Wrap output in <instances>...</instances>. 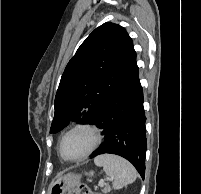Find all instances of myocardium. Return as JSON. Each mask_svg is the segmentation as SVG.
Masks as SVG:
<instances>
[{
    "label": "myocardium",
    "instance_id": "f54148a6",
    "mask_svg": "<svg viewBox=\"0 0 201 194\" xmlns=\"http://www.w3.org/2000/svg\"><path fill=\"white\" fill-rule=\"evenodd\" d=\"M78 130H85L88 131L91 136H92V143L90 147L80 156L75 157V158H68L66 157L63 152H62V144L66 136L69 134L78 131ZM102 141V131L100 127L92 122H78L71 127H69L60 137L59 142H58V153L61 156L62 159L68 162H79L87 157H89L100 145Z\"/></svg>",
    "mask_w": 201,
    "mask_h": 194
}]
</instances>
